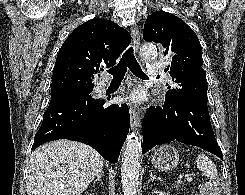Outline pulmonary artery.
I'll use <instances>...</instances> for the list:
<instances>
[{
	"instance_id": "1",
	"label": "pulmonary artery",
	"mask_w": 245,
	"mask_h": 195,
	"mask_svg": "<svg viewBox=\"0 0 245 195\" xmlns=\"http://www.w3.org/2000/svg\"><path fill=\"white\" fill-rule=\"evenodd\" d=\"M157 66L158 64H151L149 67V74L150 75H154L157 73ZM103 88H105V85L103 86Z\"/></svg>"
}]
</instances>
